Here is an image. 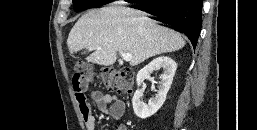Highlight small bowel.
<instances>
[{
    "label": "small bowel",
    "instance_id": "small-bowel-1",
    "mask_svg": "<svg viewBox=\"0 0 257 130\" xmlns=\"http://www.w3.org/2000/svg\"><path fill=\"white\" fill-rule=\"evenodd\" d=\"M92 102H94L98 110L105 115L111 116L118 120L123 117L126 111V104L123 100L112 94H104L101 91L94 90L89 95ZM80 113L83 117L87 130H95L96 119L92 114L90 104L86 97L80 100L76 97ZM108 130V129H106ZM116 130H129L125 125L116 127Z\"/></svg>",
    "mask_w": 257,
    "mask_h": 130
}]
</instances>
